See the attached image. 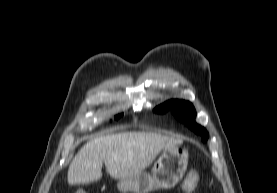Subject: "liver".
I'll list each match as a JSON object with an SVG mask.
<instances>
[{"instance_id":"obj_1","label":"liver","mask_w":277,"mask_h":193,"mask_svg":"<svg viewBox=\"0 0 277 193\" xmlns=\"http://www.w3.org/2000/svg\"><path fill=\"white\" fill-rule=\"evenodd\" d=\"M178 138L152 132H120L88 141L72 160L67 174L70 185L102 177V166L115 179L139 174L165 148L182 144Z\"/></svg>"}]
</instances>
